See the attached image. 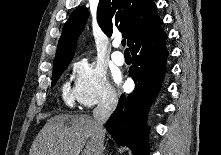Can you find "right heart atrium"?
<instances>
[{"instance_id":"1","label":"right heart atrium","mask_w":221,"mask_h":155,"mask_svg":"<svg viewBox=\"0 0 221 155\" xmlns=\"http://www.w3.org/2000/svg\"><path fill=\"white\" fill-rule=\"evenodd\" d=\"M73 73L75 100L82 108L110 107L117 103V93L102 68L82 59L73 64Z\"/></svg>"}]
</instances>
